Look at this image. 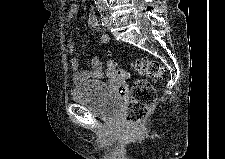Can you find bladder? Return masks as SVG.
Instances as JSON below:
<instances>
[{
    "label": "bladder",
    "mask_w": 225,
    "mask_h": 159,
    "mask_svg": "<svg viewBox=\"0 0 225 159\" xmlns=\"http://www.w3.org/2000/svg\"><path fill=\"white\" fill-rule=\"evenodd\" d=\"M73 101L105 120H114L121 109L117 92L103 81H90L76 86L72 91Z\"/></svg>",
    "instance_id": "bladder-1"
}]
</instances>
